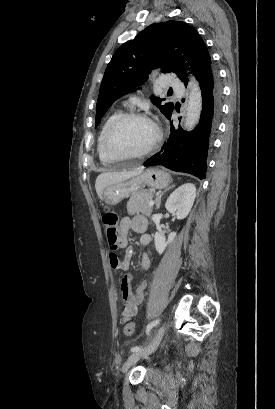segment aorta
<instances>
[{
    "instance_id": "aorta-1",
    "label": "aorta",
    "mask_w": 275,
    "mask_h": 409,
    "mask_svg": "<svg viewBox=\"0 0 275 409\" xmlns=\"http://www.w3.org/2000/svg\"><path fill=\"white\" fill-rule=\"evenodd\" d=\"M189 88L190 94L188 106L186 108V118L184 122L185 130H192V128L196 126L202 110V94L199 82L195 80L194 76H191Z\"/></svg>"
}]
</instances>
